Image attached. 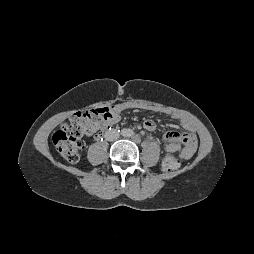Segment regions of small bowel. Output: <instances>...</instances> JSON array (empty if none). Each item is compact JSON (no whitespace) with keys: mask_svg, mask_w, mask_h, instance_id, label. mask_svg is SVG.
<instances>
[{"mask_svg":"<svg viewBox=\"0 0 254 254\" xmlns=\"http://www.w3.org/2000/svg\"><path fill=\"white\" fill-rule=\"evenodd\" d=\"M130 107H139L151 111L158 112L159 110L156 108H148L143 106H136L130 104H118L112 107V120L110 126L116 124L120 120V113L123 109L130 108ZM173 118H178L177 114L171 113L170 114ZM144 128L148 131H154L156 128V124L153 120L147 119L144 121ZM181 125L183 128L187 130L182 134L177 133L175 131H169L164 134V139L167 141V144L164 148L165 155H173L174 153H178V157L180 159L186 160L190 159L197 148V137L192 132V127L190 122L185 119H181ZM109 126V127H110Z\"/></svg>","mask_w":254,"mask_h":254,"instance_id":"small-bowel-1","label":"small bowel"}]
</instances>
